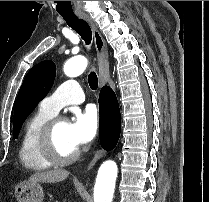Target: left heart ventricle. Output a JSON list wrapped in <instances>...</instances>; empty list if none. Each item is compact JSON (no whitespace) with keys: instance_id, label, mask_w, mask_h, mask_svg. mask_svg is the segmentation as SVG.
Here are the masks:
<instances>
[{"instance_id":"obj_1","label":"left heart ventricle","mask_w":209,"mask_h":202,"mask_svg":"<svg viewBox=\"0 0 209 202\" xmlns=\"http://www.w3.org/2000/svg\"><path fill=\"white\" fill-rule=\"evenodd\" d=\"M54 142L57 150L62 155H69L77 149L69 137L68 125L65 121L58 124L55 130Z\"/></svg>"}]
</instances>
